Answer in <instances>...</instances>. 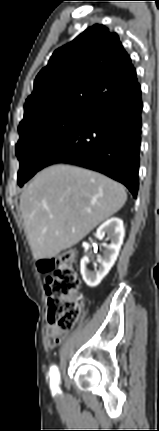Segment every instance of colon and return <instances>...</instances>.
<instances>
[{
    "label": "colon",
    "instance_id": "5ec220e1",
    "mask_svg": "<svg viewBox=\"0 0 159 431\" xmlns=\"http://www.w3.org/2000/svg\"><path fill=\"white\" fill-rule=\"evenodd\" d=\"M38 268L50 273L45 284L49 319L63 330L72 329L80 315V307L74 299L80 285L74 254L65 252L41 259Z\"/></svg>",
    "mask_w": 159,
    "mask_h": 431
}]
</instances>
